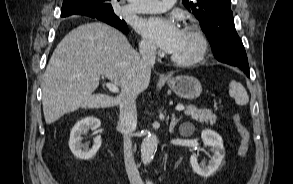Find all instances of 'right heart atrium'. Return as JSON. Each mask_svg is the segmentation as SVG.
<instances>
[{
    "mask_svg": "<svg viewBox=\"0 0 293 184\" xmlns=\"http://www.w3.org/2000/svg\"><path fill=\"white\" fill-rule=\"evenodd\" d=\"M141 51L147 55H153L156 52L155 46L147 39H142L140 42Z\"/></svg>",
    "mask_w": 293,
    "mask_h": 184,
    "instance_id": "d8ad5b80",
    "label": "right heart atrium"
}]
</instances>
